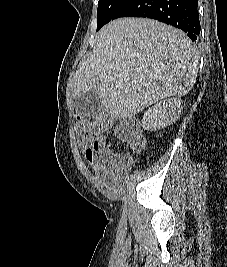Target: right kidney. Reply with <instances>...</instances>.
I'll return each mask as SVG.
<instances>
[{
    "mask_svg": "<svg viewBox=\"0 0 227 267\" xmlns=\"http://www.w3.org/2000/svg\"><path fill=\"white\" fill-rule=\"evenodd\" d=\"M182 101L168 98L156 103L143 115L142 126L146 130L156 131L174 123L182 112Z\"/></svg>",
    "mask_w": 227,
    "mask_h": 267,
    "instance_id": "1",
    "label": "right kidney"
}]
</instances>
